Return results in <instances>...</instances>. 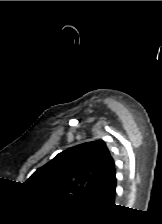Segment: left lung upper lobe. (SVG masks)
I'll return each mask as SVG.
<instances>
[{"instance_id":"1","label":"left lung upper lobe","mask_w":162,"mask_h":224,"mask_svg":"<svg viewBox=\"0 0 162 224\" xmlns=\"http://www.w3.org/2000/svg\"><path fill=\"white\" fill-rule=\"evenodd\" d=\"M115 172L102 140L71 147L36 170L26 183L46 192L86 199Z\"/></svg>"}]
</instances>
